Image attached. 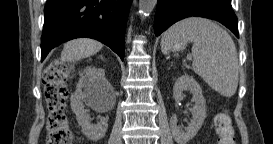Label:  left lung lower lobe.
<instances>
[{"label":"left lung lower lobe","mask_w":273,"mask_h":144,"mask_svg":"<svg viewBox=\"0 0 273 144\" xmlns=\"http://www.w3.org/2000/svg\"><path fill=\"white\" fill-rule=\"evenodd\" d=\"M190 16L219 21L239 38L237 17L231 0H158L154 19L155 35H160L175 22Z\"/></svg>","instance_id":"0a47b994"}]
</instances>
